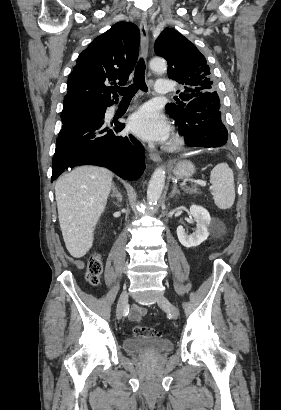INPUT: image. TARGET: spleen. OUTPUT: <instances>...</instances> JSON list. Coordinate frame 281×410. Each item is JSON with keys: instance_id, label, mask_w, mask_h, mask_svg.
<instances>
[{"instance_id": "1", "label": "spleen", "mask_w": 281, "mask_h": 410, "mask_svg": "<svg viewBox=\"0 0 281 410\" xmlns=\"http://www.w3.org/2000/svg\"><path fill=\"white\" fill-rule=\"evenodd\" d=\"M211 193L216 206L229 209L235 201V185L232 169L227 163H219L210 174Z\"/></svg>"}]
</instances>
